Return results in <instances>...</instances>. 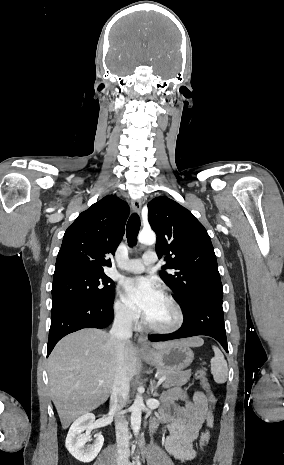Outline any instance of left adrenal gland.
Returning <instances> with one entry per match:
<instances>
[{
  "label": "left adrenal gland",
  "instance_id": "1",
  "mask_svg": "<svg viewBox=\"0 0 284 465\" xmlns=\"http://www.w3.org/2000/svg\"><path fill=\"white\" fill-rule=\"evenodd\" d=\"M155 385H156L155 381H150L151 395H153V397H160L159 393H157V391H156Z\"/></svg>",
  "mask_w": 284,
  "mask_h": 465
}]
</instances>
